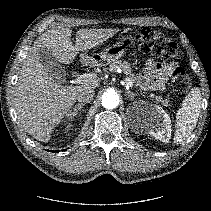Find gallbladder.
Masks as SVG:
<instances>
[{"instance_id": "bac80fb5", "label": "gallbladder", "mask_w": 211, "mask_h": 211, "mask_svg": "<svg viewBox=\"0 0 211 211\" xmlns=\"http://www.w3.org/2000/svg\"><path fill=\"white\" fill-rule=\"evenodd\" d=\"M39 61L43 64L49 75L57 82H63L66 72L50 50L42 48L38 51Z\"/></svg>"}]
</instances>
